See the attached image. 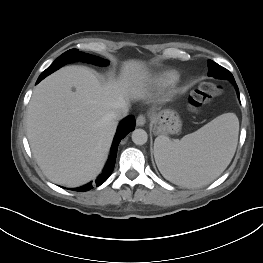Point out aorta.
I'll use <instances>...</instances> for the list:
<instances>
[{
    "mask_svg": "<svg viewBox=\"0 0 263 263\" xmlns=\"http://www.w3.org/2000/svg\"><path fill=\"white\" fill-rule=\"evenodd\" d=\"M148 140V134L145 130L143 129H135L132 132V141L136 145H143L147 142Z\"/></svg>",
    "mask_w": 263,
    "mask_h": 263,
    "instance_id": "obj_1",
    "label": "aorta"
}]
</instances>
